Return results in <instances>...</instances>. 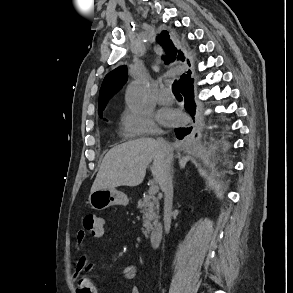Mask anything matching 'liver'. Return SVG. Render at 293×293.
<instances>
[{
	"label": "liver",
	"instance_id": "6515ba94",
	"mask_svg": "<svg viewBox=\"0 0 293 293\" xmlns=\"http://www.w3.org/2000/svg\"><path fill=\"white\" fill-rule=\"evenodd\" d=\"M166 159V153L152 138L136 139L115 146L105 155L91 192L114 190L119 186H138L144 180L151 162L152 175L160 184L166 170Z\"/></svg>",
	"mask_w": 293,
	"mask_h": 293
}]
</instances>
